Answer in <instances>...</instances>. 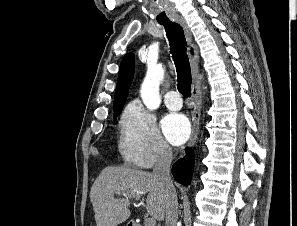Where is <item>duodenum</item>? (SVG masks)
I'll return each mask as SVG.
<instances>
[{
	"instance_id": "410a0bca",
	"label": "duodenum",
	"mask_w": 297,
	"mask_h": 226,
	"mask_svg": "<svg viewBox=\"0 0 297 226\" xmlns=\"http://www.w3.org/2000/svg\"><path fill=\"white\" fill-rule=\"evenodd\" d=\"M129 226H142L140 223H138L137 221H130Z\"/></svg>"
}]
</instances>
